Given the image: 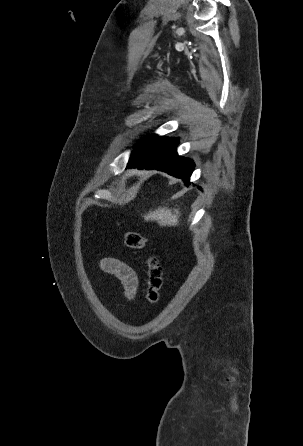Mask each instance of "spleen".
Returning a JSON list of instances; mask_svg holds the SVG:
<instances>
[{
  "label": "spleen",
  "mask_w": 303,
  "mask_h": 446,
  "mask_svg": "<svg viewBox=\"0 0 303 446\" xmlns=\"http://www.w3.org/2000/svg\"><path fill=\"white\" fill-rule=\"evenodd\" d=\"M180 213L178 209L172 212L166 207L158 208L155 211H150L144 215L145 221H157L160 226H176L178 224Z\"/></svg>",
  "instance_id": "spleen-1"
}]
</instances>
